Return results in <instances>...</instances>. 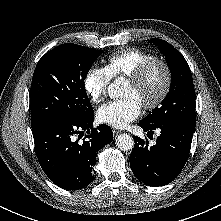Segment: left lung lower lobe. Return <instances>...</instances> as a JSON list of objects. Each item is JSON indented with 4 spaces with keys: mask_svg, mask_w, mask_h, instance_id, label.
Segmentation results:
<instances>
[{
    "mask_svg": "<svg viewBox=\"0 0 221 221\" xmlns=\"http://www.w3.org/2000/svg\"><path fill=\"white\" fill-rule=\"evenodd\" d=\"M139 126L148 133L159 129L161 135L153 146L148 145V140L134 137L135 146L130 155L133 174L146 185H166L179 175L187 162L195 125L173 121L151 126L140 121Z\"/></svg>",
    "mask_w": 221,
    "mask_h": 221,
    "instance_id": "1",
    "label": "left lung lower lobe"
}]
</instances>
